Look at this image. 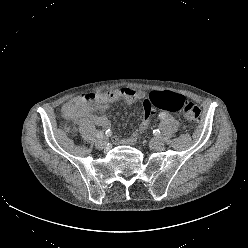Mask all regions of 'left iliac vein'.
I'll list each match as a JSON object with an SVG mask.
<instances>
[{
  "mask_svg": "<svg viewBox=\"0 0 248 248\" xmlns=\"http://www.w3.org/2000/svg\"><path fill=\"white\" fill-rule=\"evenodd\" d=\"M151 144L154 148H161L164 146L165 140L163 137L157 136V137L152 139Z\"/></svg>",
  "mask_w": 248,
  "mask_h": 248,
  "instance_id": "obj_1",
  "label": "left iliac vein"
}]
</instances>
